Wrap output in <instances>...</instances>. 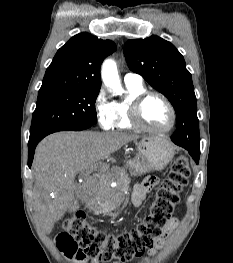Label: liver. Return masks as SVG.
I'll list each match as a JSON object with an SVG mask.
<instances>
[{"mask_svg":"<svg viewBox=\"0 0 233 263\" xmlns=\"http://www.w3.org/2000/svg\"><path fill=\"white\" fill-rule=\"evenodd\" d=\"M138 138L125 132H58L38 144L32 166L36 181L34 207L45 233H51L76 200V175L97 165L104 174L109 169L104 160Z\"/></svg>","mask_w":233,"mask_h":263,"instance_id":"6515ba94","label":"liver"}]
</instances>
